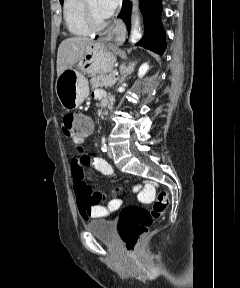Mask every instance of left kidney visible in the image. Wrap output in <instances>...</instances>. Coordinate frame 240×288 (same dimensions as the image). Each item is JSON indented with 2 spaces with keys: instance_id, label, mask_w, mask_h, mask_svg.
<instances>
[{
  "instance_id": "1",
  "label": "left kidney",
  "mask_w": 240,
  "mask_h": 288,
  "mask_svg": "<svg viewBox=\"0 0 240 288\" xmlns=\"http://www.w3.org/2000/svg\"><path fill=\"white\" fill-rule=\"evenodd\" d=\"M149 70V65L148 63H144L140 66L139 71H138V76L141 78L143 77Z\"/></svg>"
}]
</instances>
